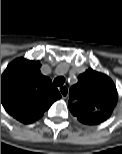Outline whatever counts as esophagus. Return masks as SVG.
<instances>
[{
    "mask_svg": "<svg viewBox=\"0 0 122 154\" xmlns=\"http://www.w3.org/2000/svg\"><path fill=\"white\" fill-rule=\"evenodd\" d=\"M59 92L63 98H67L69 89L67 86H61V87H59Z\"/></svg>",
    "mask_w": 122,
    "mask_h": 154,
    "instance_id": "obj_1",
    "label": "esophagus"
}]
</instances>
